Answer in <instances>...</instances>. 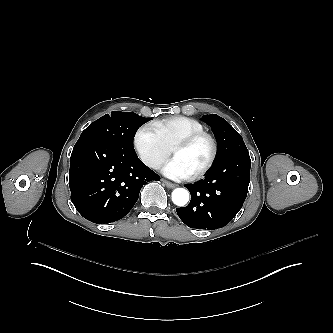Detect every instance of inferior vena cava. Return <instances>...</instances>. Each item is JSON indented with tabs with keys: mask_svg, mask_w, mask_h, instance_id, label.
Masks as SVG:
<instances>
[{
	"mask_svg": "<svg viewBox=\"0 0 333 333\" xmlns=\"http://www.w3.org/2000/svg\"><path fill=\"white\" fill-rule=\"evenodd\" d=\"M155 169H159L160 168V164H157L154 166Z\"/></svg>",
	"mask_w": 333,
	"mask_h": 333,
	"instance_id": "1",
	"label": "inferior vena cava"
}]
</instances>
